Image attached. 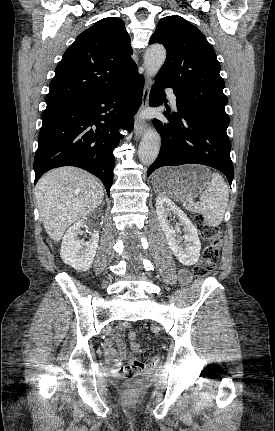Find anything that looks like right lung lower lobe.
Masks as SVG:
<instances>
[{"instance_id": "1", "label": "right lung lower lobe", "mask_w": 275, "mask_h": 431, "mask_svg": "<svg viewBox=\"0 0 275 431\" xmlns=\"http://www.w3.org/2000/svg\"><path fill=\"white\" fill-rule=\"evenodd\" d=\"M143 86V76L136 75L106 93L47 104L34 159L35 183L52 168L77 166L97 176L109 196L113 150L122 138L118 130L132 129Z\"/></svg>"}]
</instances>
